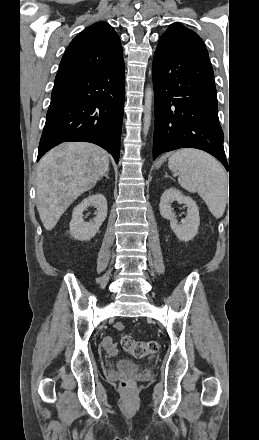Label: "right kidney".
Here are the masks:
<instances>
[{
  "label": "right kidney",
  "mask_w": 259,
  "mask_h": 440,
  "mask_svg": "<svg viewBox=\"0 0 259 440\" xmlns=\"http://www.w3.org/2000/svg\"><path fill=\"white\" fill-rule=\"evenodd\" d=\"M89 206H94L97 209V213L93 221L85 222L83 219V212ZM107 210L108 206L104 195L95 194L85 198L72 212V219L70 221L71 236L80 241L92 239L105 221Z\"/></svg>",
  "instance_id": "obj_1"
}]
</instances>
